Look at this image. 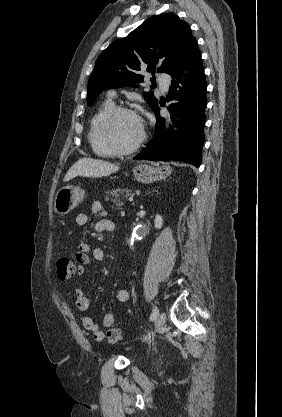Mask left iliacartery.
Masks as SVG:
<instances>
[{
  "label": "left iliac artery",
  "mask_w": 282,
  "mask_h": 417,
  "mask_svg": "<svg viewBox=\"0 0 282 417\" xmlns=\"http://www.w3.org/2000/svg\"><path fill=\"white\" fill-rule=\"evenodd\" d=\"M158 314H159V311H158L157 307H154L153 312L150 316V320L153 321L157 317Z\"/></svg>",
  "instance_id": "left-iliac-artery-1"
}]
</instances>
